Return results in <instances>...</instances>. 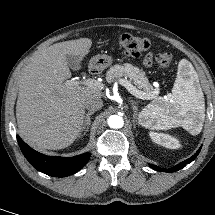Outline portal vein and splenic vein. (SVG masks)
Instances as JSON below:
<instances>
[{
	"mask_svg": "<svg viewBox=\"0 0 215 215\" xmlns=\"http://www.w3.org/2000/svg\"><path fill=\"white\" fill-rule=\"evenodd\" d=\"M120 84L122 86H124L132 95H134L135 97L139 98V99H143V100H150L156 97V95L154 93H146L143 91L138 90L135 86H133L128 80L126 79H120L119 80ZM66 84L69 86H74V85H84L87 86L89 88H93L96 90H103L104 89V84L92 79V78H88V79H84V80H80V81H76V80H67Z\"/></svg>",
	"mask_w": 215,
	"mask_h": 215,
	"instance_id": "portal-vein-and-splenic-vein-1",
	"label": "portal vein and splenic vein"
}]
</instances>
